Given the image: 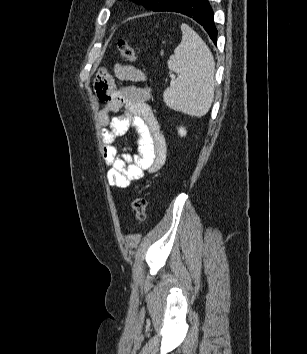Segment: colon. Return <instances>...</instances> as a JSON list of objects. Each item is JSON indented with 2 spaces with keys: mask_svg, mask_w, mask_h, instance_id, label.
Wrapping results in <instances>:
<instances>
[{
  "mask_svg": "<svg viewBox=\"0 0 307 354\" xmlns=\"http://www.w3.org/2000/svg\"><path fill=\"white\" fill-rule=\"evenodd\" d=\"M118 49L123 59L128 62H135L137 59V53L134 47L126 40H120L118 42ZM136 219L138 221H144L147 216V201L144 197H137L132 203Z\"/></svg>",
  "mask_w": 307,
  "mask_h": 354,
  "instance_id": "1",
  "label": "colon"
}]
</instances>
